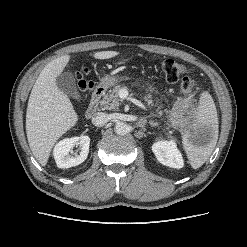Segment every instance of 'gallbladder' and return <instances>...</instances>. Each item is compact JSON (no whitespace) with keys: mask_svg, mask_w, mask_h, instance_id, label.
Instances as JSON below:
<instances>
[{"mask_svg":"<svg viewBox=\"0 0 247 247\" xmlns=\"http://www.w3.org/2000/svg\"><path fill=\"white\" fill-rule=\"evenodd\" d=\"M57 87L67 96L75 99L76 101L81 100L80 93L78 91L75 77L70 72H63L56 78Z\"/></svg>","mask_w":247,"mask_h":247,"instance_id":"gallbladder-1","label":"gallbladder"}]
</instances>
